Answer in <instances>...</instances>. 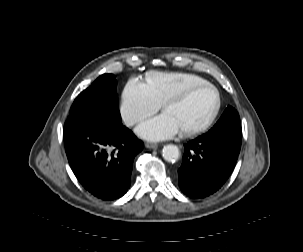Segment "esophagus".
I'll use <instances>...</instances> for the list:
<instances>
[{
    "label": "esophagus",
    "mask_w": 303,
    "mask_h": 252,
    "mask_svg": "<svg viewBox=\"0 0 303 252\" xmlns=\"http://www.w3.org/2000/svg\"><path fill=\"white\" fill-rule=\"evenodd\" d=\"M159 144L157 143H151V142H146L145 147L148 149H157Z\"/></svg>",
    "instance_id": "34e87169"
}]
</instances>
